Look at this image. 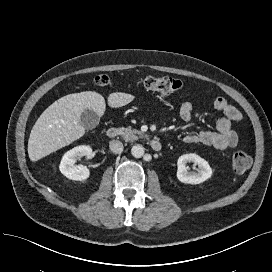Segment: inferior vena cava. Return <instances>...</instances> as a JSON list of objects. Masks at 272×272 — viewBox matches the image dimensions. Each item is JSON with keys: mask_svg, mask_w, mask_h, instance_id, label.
I'll list each match as a JSON object with an SVG mask.
<instances>
[{"mask_svg": "<svg viewBox=\"0 0 272 272\" xmlns=\"http://www.w3.org/2000/svg\"><path fill=\"white\" fill-rule=\"evenodd\" d=\"M109 147H110V150L115 154L121 153L124 148L122 142L118 140L110 141Z\"/></svg>", "mask_w": 272, "mask_h": 272, "instance_id": "602c4592", "label": "inferior vena cava"}]
</instances>
